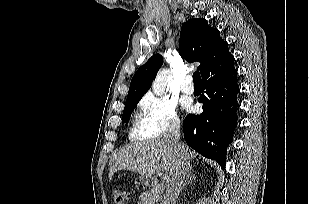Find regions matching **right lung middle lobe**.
I'll use <instances>...</instances> for the list:
<instances>
[{
	"label": "right lung middle lobe",
	"mask_w": 309,
	"mask_h": 204,
	"mask_svg": "<svg viewBox=\"0 0 309 204\" xmlns=\"http://www.w3.org/2000/svg\"><path fill=\"white\" fill-rule=\"evenodd\" d=\"M140 99H130L126 101V105L123 111V117H122V121L123 122H128L131 116V113L133 112L136 104L138 103Z\"/></svg>",
	"instance_id": "obj_1"
}]
</instances>
